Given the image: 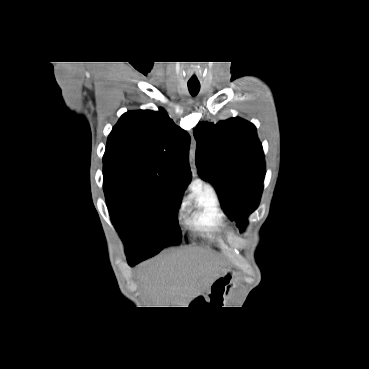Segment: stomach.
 Listing matches in <instances>:
<instances>
[{"instance_id": "0dacf381", "label": "stomach", "mask_w": 369, "mask_h": 369, "mask_svg": "<svg viewBox=\"0 0 369 369\" xmlns=\"http://www.w3.org/2000/svg\"><path fill=\"white\" fill-rule=\"evenodd\" d=\"M235 284V273L232 270H227L218 276L210 285L209 296L211 301L218 299L221 303L227 298Z\"/></svg>"}]
</instances>
